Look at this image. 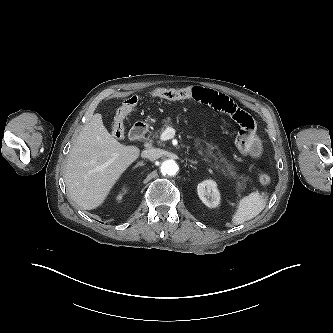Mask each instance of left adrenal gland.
<instances>
[{"instance_id": "a2214340", "label": "left adrenal gland", "mask_w": 333, "mask_h": 333, "mask_svg": "<svg viewBox=\"0 0 333 333\" xmlns=\"http://www.w3.org/2000/svg\"><path fill=\"white\" fill-rule=\"evenodd\" d=\"M189 162L192 163V164H197L198 163L196 160L195 161L189 160Z\"/></svg>"}]
</instances>
